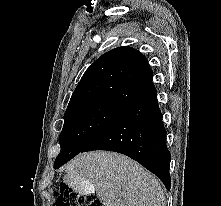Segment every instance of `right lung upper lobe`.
Wrapping results in <instances>:
<instances>
[{
	"label": "right lung upper lobe",
	"instance_id": "obj_1",
	"mask_svg": "<svg viewBox=\"0 0 221 206\" xmlns=\"http://www.w3.org/2000/svg\"><path fill=\"white\" fill-rule=\"evenodd\" d=\"M146 57L131 47H118L98 58L86 70L67 110L110 104L128 107L155 88Z\"/></svg>",
	"mask_w": 221,
	"mask_h": 206
}]
</instances>
